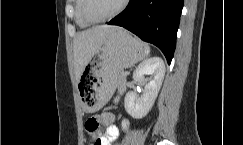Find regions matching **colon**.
<instances>
[{
  "mask_svg": "<svg viewBox=\"0 0 243 145\" xmlns=\"http://www.w3.org/2000/svg\"><path fill=\"white\" fill-rule=\"evenodd\" d=\"M124 127H127V123L124 122ZM85 127H86V130L89 132V133H93L95 131L98 130L99 128V121L96 117H91L89 118L86 123H85Z\"/></svg>",
  "mask_w": 243,
  "mask_h": 145,
  "instance_id": "1",
  "label": "colon"
}]
</instances>
